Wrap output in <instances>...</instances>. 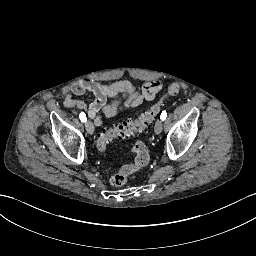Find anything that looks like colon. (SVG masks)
<instances>
[{"label": "colon", "instance_id": "5ec220e1", "mask_svg": "<svg viewBox=\"0 0 256 256\" xmlns=\"http://www.w3.org/2000/svg\"><path fill=\"white\" fill-rule=\"evenodd\" d=\"M179 91L180 85L178 83L170 84L167 91L158 98L152 107L145 113H142L138 118L133 120L129 119L125 122L119 123L113 128L104 130L97 141L98 150L104 152L109 143L117 139L128 138L134 134L148 130L155 118L161 113L165 102L170 97L178 94ZM132 150L135 154L134 164L123 166L118 172L112 174L109 178V182L112 186L120 187L124 185L127 182L129 176L135 170L146 166L149 163L150 154L144 142H135L132 145Z\"/></svg>", "mask_w": 256, "mask_h": 256}]
</instances>
